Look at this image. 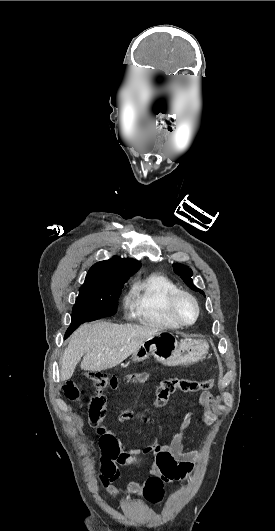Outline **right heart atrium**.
<instances>
[{"mask_svg": "<svg viewBox=\"0 0 275 531\" xmlns=\"http://www.w3.org/2000/svg\"><path fill=\"white\" fill-rule=\"evenodd\" d=\"M129 299H130V298H127V304H129V303H130V300H129Z\"/></svg>", "mask_w": 275, "mask_h": 531, "instance_id": "right-heart-atrium-1", "label": "right heart atrium"}]
</instances>
